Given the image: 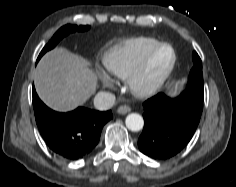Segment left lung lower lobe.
I'll list each match as a JSON object with an SVG mask.
<instances>
[{
    "instance_id": "0a47b994",
    "label": "left lung lower lobe",
    "mask_w": 236,
    "mask_h": 187,
    "mask_svg": "<svg viewBox=\"0 0 236 187\" xmlns=\"http://www.w3.org/2000/svg\"><path fill=\"white\" fill-rule=\"evenodd\" d=\"M203 100L189 91L170 98L159 93L144 102L140 151L153 159H168L192 138L203 110Z\"/></svg>"
}]
</instances>
